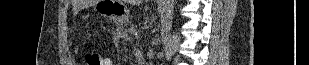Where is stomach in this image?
I'll return each instance as SVG.
<instances>
[{
  "label": "stomach",
  "instance_id": "1",
  "mask_svg": "<svg viewBox=\"0 0 309 65\" xmlns=\"http://www.w3.org/2000/svg\"><path fill=\"white\" fill-rule=\"evenodd\" d=\"M96 10L103 17L113 20L120 26L127 25V6L122 0L101 1Z\"/></svg>",
  "mask_w": 309,
  "mask_h": 65
}]
</instances>
